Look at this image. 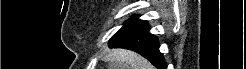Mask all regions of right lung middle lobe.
Masks as SVG:
<instances>
[{"label": "right lung middle lobe", "mask_w": 246, "mask_h": 69, "mask_svg": "<svg viewBox=\"0 0 246 69\" xmlns=\"http://www.w3.org/2000/svg\"><path fill=\"white\" fill-rule=\"evenodd\" d=\"M142 21L138 20L137 18L130 19L125 22V25L111 38L110 43H112L115 39H117L119 36L127 32L128 30L134 28L138 24H140Z\"/></svg>", "instance_id": "dd1d6c3e"}]
</instances>
